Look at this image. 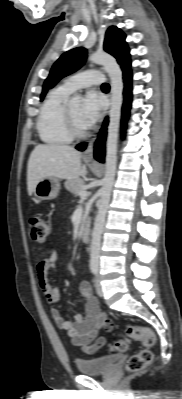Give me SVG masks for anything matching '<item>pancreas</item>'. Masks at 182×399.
<instances>
[{"label": "pancreas", "mask_w": 182, "mask_h": 399, "mask_svg": "<svg viewBox=\"0 0 182 399\" xmlns=\"http://www.w3.org/2000/svg\"><path fill=\"white\" fill-rule=\"evenodd\" d=\"M65 188L70 191L74 196L80 195L84 190V180L78 178L75 180H68L65 182Z\"/></svg>", "instance_id": "pancreas-1"}]
</instances>
